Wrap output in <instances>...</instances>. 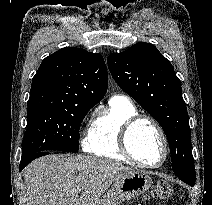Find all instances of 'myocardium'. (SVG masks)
Segmentation results:
<instances>
[{
	"label": "myocardium",
	"mask_w": 212,
	"mask_h": 205,
	"mask_svg": "<svg viewBox=\"0 0 212 205\" xmlns=\"http://www.w3.org/2000/svg\"><path fill=\"white\" fill-rule=\"evenodd\" d=\"M149 122L157 131L163 146V156L158 163L150 164L138 160L131 151L129 138L133 128L140 122ZM119 147L124 156H126L132 163L144 168H157L164 164L168 157L169 149L166 135L160 124L152 117L147 115L137 114L129 118L122 126L119 134Z\"/></svg>",
	"instance_id": "obj_1"
}]
</instances>
